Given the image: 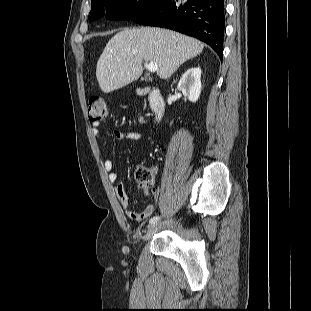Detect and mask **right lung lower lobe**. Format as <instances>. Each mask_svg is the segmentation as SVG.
<instances>
[{
  "label": "right lung lower lobe",
  "instance_id": "1",
  "mask_svg": "<svg viewBox=\"0 0 311 311\" xmlns=\"http://www.w3.org/2000/svg\"><path fill=\"white\" fill-rule=\"evenodd\" d=\"M132 20L195 37L210 45L222 58L224 0H159Z\"/></svg>",
  "mask_w": 311,
  "mask_h": 311
}]
</instances>
